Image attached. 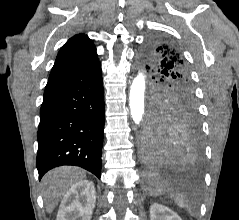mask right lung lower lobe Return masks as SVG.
<instances>
[{
    "label": "right lung lower lobe",
    "instance_id": "right-lung-lower-lobe-1",
    "mask_svg": "<svg viewBox=\"0 0 239 220\" xmlns=\"http://www.w3.org/2000/svg\"><path fill=\"white\" fill-rule=\"evenodd\" d=\"M104 92L99 60L48 80L40 110L39 178L62 165L82 167L101 176Z\"/></svg>",
    "mask_w": 239,
    "mask_h": 220
}]
</instances>
